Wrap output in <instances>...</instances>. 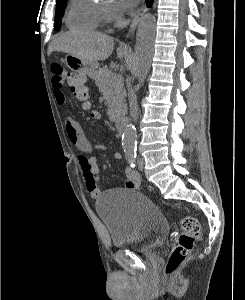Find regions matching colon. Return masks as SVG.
<instances>
[{
	"label": "colon",
	"instance_id": "1",
	"mask_svg": "<svg viewBox=\"0 0 245 300\" xmlns=\"http://www.w3.org/2000/svg\"><path fill=\"white\" fill-rule=\"evenodd\" d=\"M52 72L70 87L74 97L83 103L84 107H88L89 91L82 75L68 71L60 64H53ZM180 224L182 233L164 267L166 276H171L177 271L201 238V226L197 218L191 215L183 216Z\"/></svg>",
	"mask_w": 245,
	"mask_h": 300
}]
</instances>
